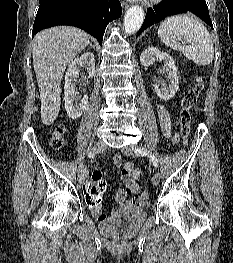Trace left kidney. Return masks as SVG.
Instances as JSON below:
<instances>
[{
  "label": "left kidney",
  "mask_w": 233,
  "mask_h": 263,
  "mask_svg": "<svg viewBox=\"0 0 233 263\" xmlns=\"http://www.w3.org/2000/svg\"><path fill=\"white\" fill-rule=\"evenodd\" d=\"M156 60L164 62V72L168 75L169 85L167 86L162 81H157L153 84L154 91L162 100H169L174 97L179 89L177 66L173 58L166 52L160 51L156 47H148L141 53L140 62L144 67H148Z\"/></svg>",
  "instance_id": "1"
}]
</instances>
